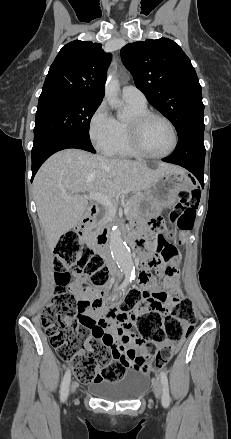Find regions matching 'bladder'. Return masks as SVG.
<instances>
[{
	"instance_id": "obj_1",
	"label": "bladder",
	"mask_w": 231,
	"mask_h": 439,
	"mask_svg": "<svg viewBox=\"0 0 231 439\" xmlns=\"http://www.w3.org/2000/svg\"><path fill=\"white\" fill-rule=\"evenodd\" d=\"M149 385V376L138 368H130L122 379L102 384H94L91 390L109 401H127L139 397Z\"/></svg>"
}]
</instances>
